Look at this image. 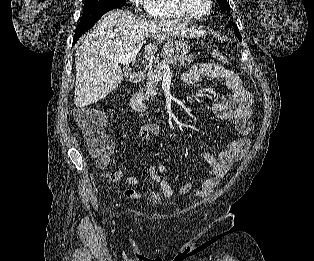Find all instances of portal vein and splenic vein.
Here are the masks:
<instances>
[{"instance_id":"1","label":"portal vein and splenic vein","mask_w":314,"mask_h":261,"mask_svg":"<svg viewBox=\"0 0 314 261\" xmlns=\"http://www.w3.org/2000/svg\"><path fill=\"white\" fill-rule=\"evenodd\" d=\"M145 43V41H142L135 49H133L131 52H129L126 55H123L121 57H113L112 60L116 63H121L122 65H128L131 62L135 61L137 54L139 53L142 45ZM159 67L163 68L165 72L170 71V67L165 64H159Z\"/></svg>"}]
</instances>
